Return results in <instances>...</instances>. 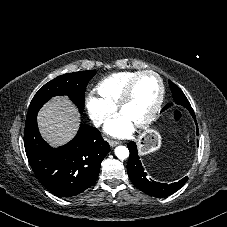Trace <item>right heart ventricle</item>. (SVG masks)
Returning <instances> with one entry per match:
<instances>
[{
	"mask_svg": "<svg viewBox=\"0 0 227 227\" xmlns=\"http://www.w3.org/2000/svg\"><path fill=\"white\" fill-rule=\"evenodd\" d=\"M139 71H121L102 79L95 87L98 98L110 106H116L129 81Z\"/></svg>",
	"mask_w": 227,
	"mask_h": 227,
	"instance_id": "1",
	"label": "right heart ventricle"
}]
</instances>
